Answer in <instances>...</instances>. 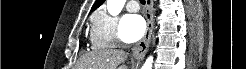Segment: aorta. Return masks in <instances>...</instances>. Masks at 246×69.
Listing matches in <instances>:
<instances>
[{"instance_id":"1","label":"aorta","mask_w":246,"mask_h":69,"mask_svg":"<svg viewBox=\"0 0 246 69\" xmlns=\"http://www.w3.org/2000/svg\"><path fill=\"white\" fill-rule=\"evenodd\" d=\"M126 0H107V10L112 16L118 15L124 7ZM153 57L150 56L145 61L142 69H152Z\"/></svg>"}]
</instances>
